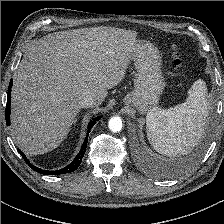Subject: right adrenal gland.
Returning <instances> with one entry per match:
<instances>
[{
	"label": "right adrenal gland",
	"instance_id": "obj_1",
	"mask_svg": "<svg viewBox=\"0 0 224 224\" xmlns=\"http://www.w3.org/2000/svg\"><path fill=\"white\" fill-rule=\"evenodd\" d=\"M76 121H77V118L74 120V124L76 123Z\"/></svg>",
	"mask_w": 224,
	"mask_h": 224
}]
</instances>
